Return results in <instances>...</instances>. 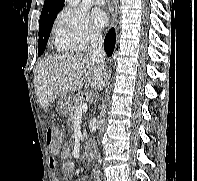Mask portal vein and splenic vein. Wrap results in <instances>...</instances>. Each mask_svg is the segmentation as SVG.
I'll return each instance as SVG.
<instances>
[{
	"mask_svg": "<svg viewBox=\"0 0 197 181\" xmlns=\"http://www.w3.org/2000/svg\"><path fill=\"white\" fill-rule=\"evenodd\" d=\"M87 109H88L87 103L86 102L81 103L77 109L76 116H82L87 111Z\"/></svg>",
	"mask_w": 197,
	"mask_h": 181,
	"instance_id": "1",
	"label": "portal vein and splenic vein"
}]
</instances>
